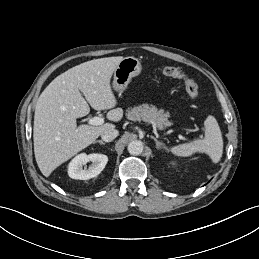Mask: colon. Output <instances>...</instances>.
I'll list each match as a JSON object with an SVG mask.
<instances>
[{
	"label": "colon",
	"instance_id": "1",
	"mask_svg": "<svg viewBox=\"0 0 259 259\" xmlns=\"http://www.w3.org/2000/svg\"><path fill=\"white\" fill-rule=\"evenodd\" d=\"M160 72L166 77L179 79L183 82L185 91L191 100L199 98V87L197 82L186 74L182 69L173 66H162Z\"/></svg>",
	"mask_w": 259,
	"mask_h": 259
}]
</instances>
